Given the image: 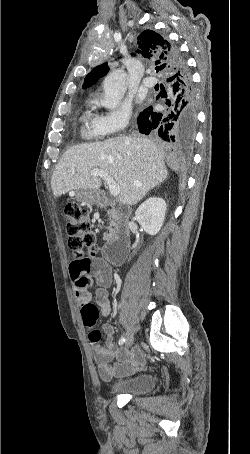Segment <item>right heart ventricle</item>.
<instances>
[{
	"instance_id": "e07e8e85",
	"label": "right heart ventricle",
	"mask_w": 250,
	"mask_h": 454,
	"mask_svg": "<svg viewBox=\"0 0 250 454\" xmlns=\"http://www.w3.org/2000/svg\"><path fill=\"white\" fill-rule=\"evenodd\" d=\"M98 116L87 111L81 118L80 134L84 139H97L102 136V132L97 125Z\"/></svg>"
}]
</instances>
